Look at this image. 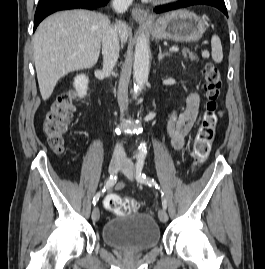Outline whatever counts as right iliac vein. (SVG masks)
Returning <instances> with one entry per match:
<instances>
[{
    "instance_id": "obj_1",
    "label": "right iliac vein",
    "mask_w": 265,
    "mask_h": 269,
    "mask_svg": "<svg viewBox=\"0 0 265 269\" xmlns=\"http://www.w3.org/2000/svg\"><path fill=\"white\" fill-rule=\"evenodd\" d=\"M123 165V162L119 159H112L110 164H109V173L110 174H115ZM100 217V212L98 207H94L92 211V220L93 221H98Z\"/></svg>"
}]
</instances>
